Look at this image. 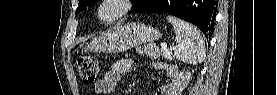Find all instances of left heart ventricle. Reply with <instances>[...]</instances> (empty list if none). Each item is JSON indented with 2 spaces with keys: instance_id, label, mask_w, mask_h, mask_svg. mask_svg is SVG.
I'll use <instances>...</instances> for the list:
<instances>
[{
  "instance_id": "obj_1",
  "label": "left heart ventricle",
  "mask_w": 277,
  "mask_h": 95,
  "mask_svg": "<svg viewBox=\"0 0 277 95\" xmlns=\"http://www.w3.org/2000/svg\"><path fill=\"white\" fill-rule=\"evenodd\" d=\"M105 11H107V12H108V11H109V10H108V8H106V10H105Z\"/></svg>"
}]
</instances>
